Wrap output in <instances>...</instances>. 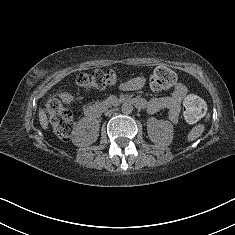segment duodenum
<instances>
[{
  "label": "duodenum",
  "instance_id": "duodenum-1",
  "mask_svg": "<svg viewBox=\"0 0 235 235\" xmlns=\"http://www.w3.org/2000/svg\"><path fill=\"white\" fill-rule=\"evenodd\" d=\"M127 101H128V102H132V103H134L136 106L139 107V102H138V101L131 100V99H128ZM85 113H86V116H87L88 118H93V119H94V118H97V117L100 115L101 110H100V108H99L98 106H96V105H90V106H88V107L86 108Z\"/></svg>",
  "mask_w": 235,
  "mask_h": 235
}]
</instances>
